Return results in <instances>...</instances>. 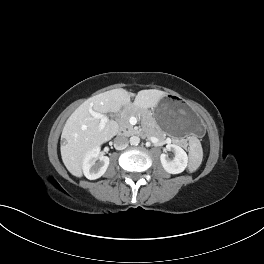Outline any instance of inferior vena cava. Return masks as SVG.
<instances>
[{
  "instance_id": "obj_1",
  "label": "inferior vena cava",
  "mask_w": 264,
  "mask_h": 264,
  "mask_svg": "<svg viewBox=\"0 0 264 264\" xmlns=\"http://www.w3.org/2000/svg\"><path fill=\"white\" fill-rule=\"evenodd\" d=\"M128 139L125 136H117L114 139V147L117 150H123L128 146Z\"/></svg>"
}]
</instances>
